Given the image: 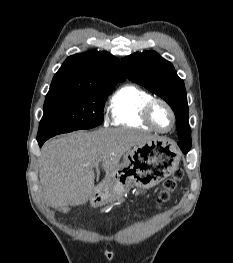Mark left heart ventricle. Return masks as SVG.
Wrapping results in <instances>:
<instances>
[{
  "label": "left heart ventricle",
  "mask_w": 233,
  "mask_h": 263,
  "mask_svg": "<svg viewBox=\"0 0 233 263\" xmlns=\"http://www.w3.org/2000/svg\"><path fill=\"white\" fill-rule=\"evenodd\" d=\"M153 120L161 129H168L171 125V116L162 104H156L152 111Z\"/></svg>",
  "instance_id": "left-heart-ventricle-1"
}]
</instances>
